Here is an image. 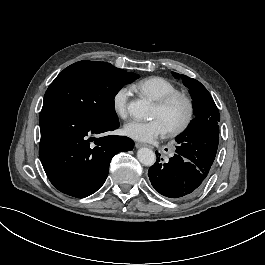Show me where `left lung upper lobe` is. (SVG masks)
I'll return each mask as SVG.
<instances>
[{
  "instance_id": "5c2ea615",
  "label": "left lung upper lobe",
  "mask_w": 265,
  "mask_h": 265,
  "mask_svg": "<svg viewBox=\"0 0 265 265\" xmlns=\"http://www.w3.org/2000/svg\"><path fill=\"white\" fill-rule=\"evenodd\" d=\"M172 74L181 78L189 89L196 115L187 129L176 137L179 144L176 153L212 168L219 143L218 108L210 93L199 81L175 72Z\"/></svg>"
}]
</instances>
